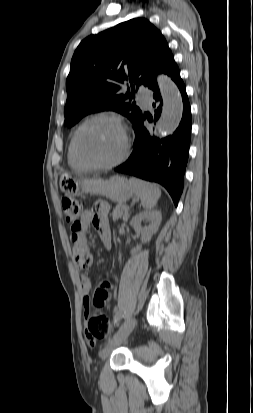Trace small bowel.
<instances>
[{
  "label": "small bowel",
  "mask_w": 253,
  "mask_h": 413,
  "mask_svg": "<svg viewBox=\"0 0 253 413\" xmlns=\"http://www.w3.org/2000/svg\"><path fill=\"white\" fill-rule=\"evenodd\" d=\"M107 212V206L102 202H98L93 208L84 210L78 223L76 225H72L71 227L73 258L77 269L81 272L83 305L86 312L90 309L91 292L94 287L90 277L84 273V271L87 270L93 262V257L88 246L86 232L91 225L94 226L98 231L105 248L110 249L111 231L108 223ZM94 343L91 344L89 342L91 345H94Z\"/></svg>",
  "instance_id": "obj_1"
}]
</instances>
